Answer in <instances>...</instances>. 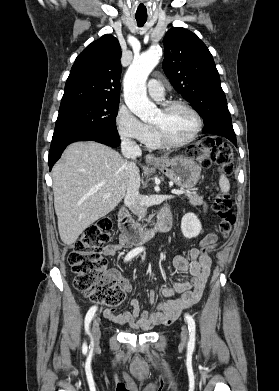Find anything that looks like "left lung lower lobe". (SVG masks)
I'll return each instance as SVG.
<instances>
[{"instance_id": "1", "label": "left lung lower lobe", "mask_w": 279, "mask_h": 391, "mask_svg": "<svg viewBox=\"0 0 279 391\" xmlns=\"http://www.w3.org/2000/svg\"><path fill=\"white\" fill-rule=\"evenodd\" d=\"M220 136H223V137H226L227 139H229L234 145H236V136L235 135H220Z\"/></svg>"}]
</instances>
